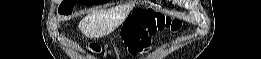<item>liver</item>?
I'll list each match as a JSON object with an SVG mask.
<instances>
[{"instance_id":"liver-1","label":"liver","mask_w":261,"mask_h":59,"mask_svg":"<svg viewBox=\"0 0 261 59\" xmlns=\"http://www.w3.org/2000/svg\"><path fill=\"white\" fill-rule=\"evenodd\" d=\"M116 9L95 10L79 23V29L88 38H100L112 33L123 21Z\"/></svg>"}]
</instances>
